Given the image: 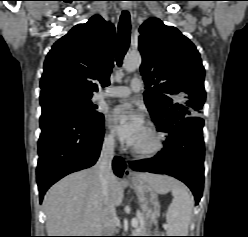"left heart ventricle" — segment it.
I'll use <instances>...</instances> for the list:
<instances>
[{
  "label": "left heart ventricle",
  "instance_id": "1",
  "mask_svg": "<svg viewBox=\"0 0 248 237\" xmlns=\"http://www.w3.org/2000/svg\"><path fill=\"white\" fill-rule=\"evenodd\" d=\"M152 144H153V138L151 134L148 132V130L146 129V131L144 132V134L142 135V137L140 138V140L136 143L134 147L139 148V149H144V148H148L152 146Z\"/></svg>",
  "mask_w": 248,
  "mask_h": 237
}]
</instances>
